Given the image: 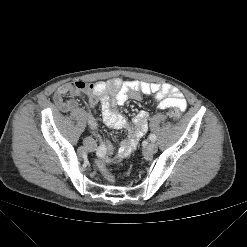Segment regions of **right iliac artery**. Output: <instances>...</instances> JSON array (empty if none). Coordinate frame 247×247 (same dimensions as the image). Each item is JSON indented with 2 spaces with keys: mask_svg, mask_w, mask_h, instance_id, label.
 Instances as JSON below:
<instances>
[{
  "mask_svg": "<svg viewBox=\"0 0 247 247\" xmlns=\"http://www.w3.org/2000/svg\"><path fill=\"white\" fill-rule=\"evenodd\" d=\"M95 135V133H94ZM96 154L99 157H104L107 154V149L104 147V145H100L97 149H96Z\"/></svg>",
  "mask_w": 247,
  "mask_h": 247,
  "instance_id": "right-iliac-artery-1",
  "label": "right iliac artery"
}]
</instances>
